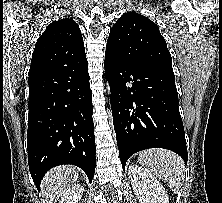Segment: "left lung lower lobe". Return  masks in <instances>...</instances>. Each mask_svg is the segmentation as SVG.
<instances>
[{
	"instance_id": "1",
	"label": "left lung lower lobe",
	"mask_w": 222,
	"mask_h": 203,
	"mask_svg": "<svg viewBox=\"0 0 222 203\" xmlns=\"http://www.w3.org/2000/svg\"><path fill=\"white\" fill-rule=\"evenodd\" d=\"M105 74L111 86V107L123 169L141 150L165 148L187 164L183 122L171 67L127 61L106 50Z\"/></svg>"
}]
</instances>
